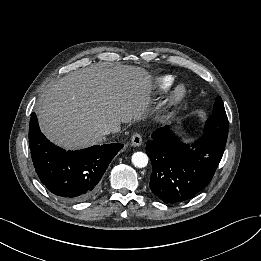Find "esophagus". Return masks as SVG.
Segmentation results:
<instances>
[{"instance_id":"1","label":"esophagus","mask_w":261,"mask_h":261,"mask_svg":"<svg viewBox=\"0 0 261 261\" xmlns=\"http://www.w3.org/2000/svg\"><path fill=\"white\" fill-rule=\"evenodd\" d=\"M131 143L133 146H140L142 143V137L139 133H134L131 137Z\"/></svg>"}]
</instances>
